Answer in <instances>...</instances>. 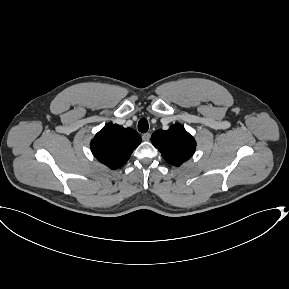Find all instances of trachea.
<instances>
[{"mask_svg": "<svg viewBox=\"0 0 289 289\" xmlns=\"http://www.w3.org/2000/svg\"><path fill=\"white\" fill-rule=\"evenodd\" d=\"M149 129L148 121L145 118H141L138 122V130L142 133H146Z\"/></svg>", "mask_w": 289, "mask_h": 289, "instance_id": "3493384b", "label": "trachea"}]
</instances>
